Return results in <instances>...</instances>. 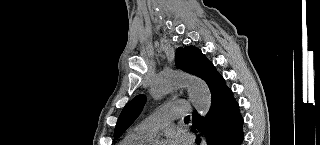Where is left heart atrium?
Wrapping results in <instances>:
<instances>
[{
    "label": "left heart atrium",
    "mask_w": 320,
    "mask_h": 145,
    "mask_svg": "<svg viewBox=\"0 0 320 145\" xmlns=\"http://www.w3.org/2000/svg\"><path fill=\"white\" fill-rule=\"evenodd\" d=\"M169 145H187L188 138L183 132H173L168 137Z\"/></svg>",
    "instance_id": "1"
}]
</instances>
